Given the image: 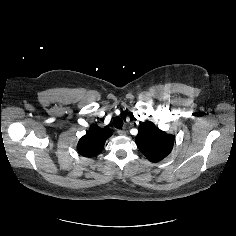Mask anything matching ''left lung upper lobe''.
<instances>
[{"label": "left lung upper lobe", "mask_w": 236, "mask_h": 236, "mask_svg": "<svg viewBox=\"0 0 236 236\" xmlns=\"http://www.w3.org/2000/svg\"><path fill=\"white\" fill-rule=\"evenodd\" d=\"M136 143L140 151L151 162H158L169 155L173 148L174 136L161 131L152 122L139 126Z\"/></svg>", "instance_id": "obj_1"}]
</instances>
